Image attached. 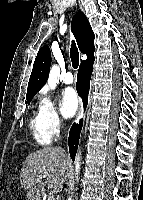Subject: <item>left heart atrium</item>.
<instances>
[{"instance_id": "left-heart-atrium-1", "label": "left heart atrium", "mask_w": 143, "mask_h": 200, "mask_svg": "<svg viewBox=\"0 0 143 200\" xmlns=\"http://www.w3.org/2000/svg\"><path fill=\"white\" fill-rule=\"evenodd\" d=\"M79 106L78 96L73 88H66L61 96V112L66 118L75 115Z\"/></svg>"}]
</instances>
